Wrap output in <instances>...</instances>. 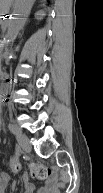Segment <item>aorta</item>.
Masks as SVG:
<instances>
[{
  "label": "aorta",
  "mask_w": 103,
  "mask_h": 193,
  "mask_svg": "<svg viewBox=\"0 0 103 193\" xmlns=\"http://www.w3.org/2000/svg\"><path fill=\"white\" fill-rule=\"evenodd\" d=\"M34 0H16V5L13 10V16L9 22L6 39L8 42H13L20 30L22 29L26 17L31 10Z\"/></svg>",
  "instance_id": "1"
}]
</instances>
